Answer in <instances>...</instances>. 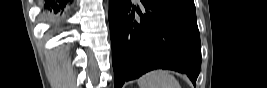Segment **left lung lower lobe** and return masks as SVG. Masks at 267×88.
Segmentation results:
<instances>
[{"instance_id":"0a47b994","label":"left lung lower lobe","mask_w":267,"mask_h":88,"mask_svg":"<svg viewBox=\"0 0 267 88\" xmlns=\"http://www.w3.org/2000/svg\"><path fill=\"white\" fill-rule=\"evenodd\" d=\"M140 6L110 0L115 88L158 68L187 73L195 85L201 65L195 11L161 0H140Z\"/></svg>"}]
</instances>
